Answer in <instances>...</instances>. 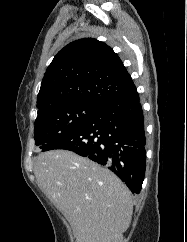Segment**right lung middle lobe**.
<instances>
[{
  "label": "right lung middle lobe",
  "instance_id": "dd1d6c3e",
  "mask_svg": "<svg viewBox=\"0 0 187 242\" xmlns=\"http://www.w3.org/2000/svg\"><path fill=\"white\" fill-rule=\"evenodd\" d=\"M100 105L73 102L63 104L38 114L35 121V145L45 149L54 141L70 133L94 114Z\"/></svg>",
  "mask_w": 187,
  "mask_h": 242
}]
</instances>
